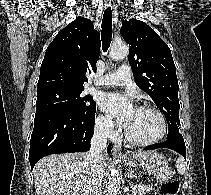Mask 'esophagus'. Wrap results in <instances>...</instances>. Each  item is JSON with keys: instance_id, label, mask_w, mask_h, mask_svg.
<instances>
[{"instance_id": "1", "label": "esophagus", "mask_w": 211, "mask_h": 195, "mask_svg": "<svg viewBox=\"0 0 211 195\" xmlns=\"http://www.w3.org/2000/svg\"><path fill=\"white\" fill-rule=\"evenodd\" d=\"M112 154H113L114 157L124 158V155L122 153V149H121L120 145L115 144L113 146Z\"/></svg>"}]
</instances>
